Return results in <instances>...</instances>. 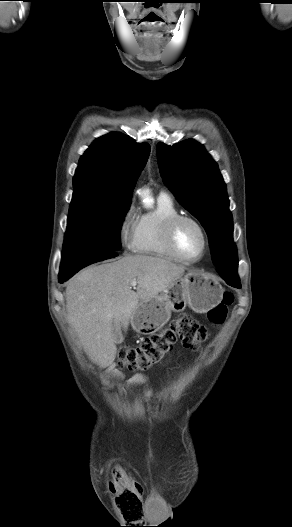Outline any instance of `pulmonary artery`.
<instances>
[{"label": "pulmonary artery", "mask_w": 292, "mask_h": 527, "mask_svg": "<svg viewBox=\"0 0 292 527\" xmlns=\"http://www.w3.org/2000/svg\"><path fill=\"white\" fill-rule=\"evenodd\" d=\"M161 194H163V195H167L165 192H161Z\"/></svg>", "instance_id": "obj_1"}]
</instances>
